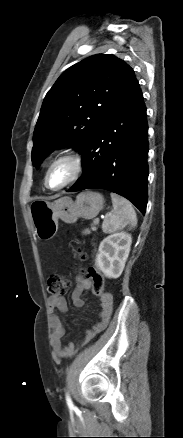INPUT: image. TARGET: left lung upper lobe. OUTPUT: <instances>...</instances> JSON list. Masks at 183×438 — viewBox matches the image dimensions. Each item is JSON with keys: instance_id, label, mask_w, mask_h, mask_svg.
I'll return each instance as SVG.
<instances>
[{"instance_id": "left-lung-upper-lobe-1", "label": "left lung upper lobe", "mask_w": 183, "mask_h": 438, "mask_svg": "<svg viewBox=\"0 0 183 438\" xmlns=\"http://www.w3.org/2000/svg\"><path fill=\"white\" fill-rule=\"evenodd\" d=\"M136 81L133 69L110 54L90 56L64 71L43 101L33 134V164L61 146L82 153Z\"/></svg>"}]
</instances>
